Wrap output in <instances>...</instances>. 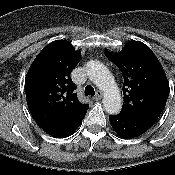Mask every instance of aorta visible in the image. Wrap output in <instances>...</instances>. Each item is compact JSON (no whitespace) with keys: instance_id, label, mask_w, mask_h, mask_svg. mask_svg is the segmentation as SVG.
<instances>
[{"instance_id":"obj_1","label":"aorta","mask_w":175,"mask_h":175,"mask_svg":"<svg viewBox=\"0 0 175 175\" xmlns=\"http://www.w3.org/2000/svg\"><path fill=\"white\" fill-rule=\"evenodd\" d=\"M86 68L89 79L103 91L105 111L109 114H118L122 106L121 95L107 67L99 61H90Z\"/></svg>"}]
</instances>
